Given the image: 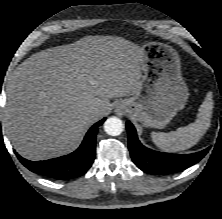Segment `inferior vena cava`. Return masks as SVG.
<instances>
[{"label": "inferior vena cava", "mask_w": 222, "mask_h": 219, "mask_svg": "<svg viewBox=\"0 0 222 219\" xmlns=\"http://www.w3.org/2000/svg\"><path fill=\"white\" fill-rule=\"evenodd\" d=\"M99 112H100V109L96 108V109H94L91 113H92V114H96V113H99Z\"/></svg>", "instance_id": "inferior-vena-cava-1"}]
</instances>
